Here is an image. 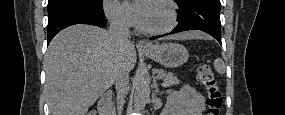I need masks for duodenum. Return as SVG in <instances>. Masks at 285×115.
<instances>
[{
  "label": "duodenum",
  "instance_id": "obj_1",
  "mask_svg": "<svg viewBox=\"0 0 285 115\" xmlns=\"http://www.w3.org/2000/svg\"><path fill=\"white\" fill-rule=\"evenodd\" d=\"M99 113L100 115L114 114L111 104V97L108 93L103 94L99 99Z\"/></svg>",
  "mask_w": 285,
  "mask_h": 115
}]
</instances>
